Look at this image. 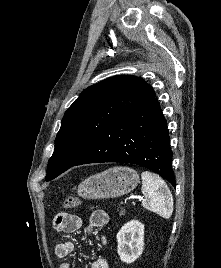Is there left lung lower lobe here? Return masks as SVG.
Here are the masks:
<instances>
[{
    "mask_svg": "<svg viewBox=\"0 0 221 268\" xmlns=\"http://www.w3.org/2000/svg\"><path fill=\"white\" fill-rule=\"evenodd\" d=\"M167 122L155 97L112 122L73 165L132 163L148 168L175 187Z\"/></svg>",
    "mask_w": 221,
    "mask_h": 268,
    "instance_id": "left-lung-lower-lobe-1",
    "label": "left lung lower lobe"
}]
</instances>
